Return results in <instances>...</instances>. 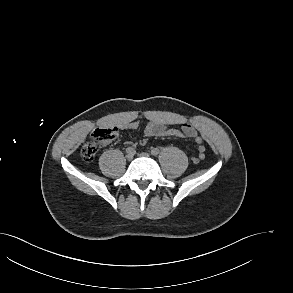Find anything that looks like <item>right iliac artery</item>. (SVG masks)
<instances>
[{
    "mask_svg": "<svg viewBox=\"0 0 293 293\" xmlns=\"http://www.w3.org/2000/svg\"><path fill=\"white\" fill-rule=\"evenodd\" d=\"M126 152H127V153H134L135 151H134V149H133L132 147H128V148L126 149Z\"/></svg>",
    "mask_w": 293,
    "mask_h": 293,
    "instance_id": "right-iliac-artery-1",
    "label": "right iliac artery"
}]
</instances>
